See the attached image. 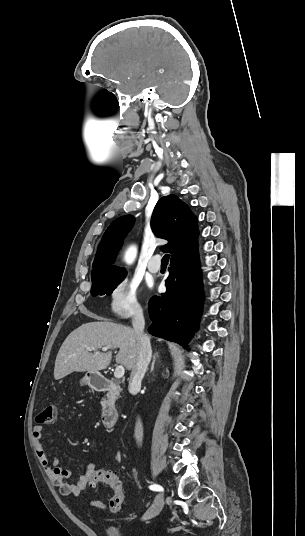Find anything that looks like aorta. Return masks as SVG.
Segmentation results:
<instances>
[{
  "label": "aorta",
  "mask_w": 305,
  "mask_h": 536,
  "mask_svg": "<svg viewBox=\"0 0 305 536\" xmlns=\"http://www.w3.org/2000/svg\"><path fill=\"white\" fill-rule=\"evenodd\" d=\"M137 249L135 246H131L125 253V261L128 264L133 263L136 258Z\"/></svg>",
  "instance_id": "762f6f07"
}]
</instances>
